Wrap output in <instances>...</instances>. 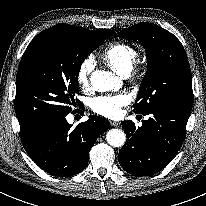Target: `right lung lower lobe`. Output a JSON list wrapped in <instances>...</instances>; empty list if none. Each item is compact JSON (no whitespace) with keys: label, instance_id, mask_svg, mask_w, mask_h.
Returning <instances> with one entry per match:
<instances>
[{"label":"right lung lower lobe","instance_id":"right-lung-lower-lobe-1","mask_svg":"<svg viewBox=\"0 0 206 206\" xmlns=\"http://www.w3.org/2000/svg\"><path fill=\"white\" fill-rule=\"evenodd\" d=\"M109 127L106 119L93 115L72 128L65 115L20 126V136L24 149L41 169L68 177L86 168L92 146Z\"/></svg>","mask_w":206,"mask_h":206}]
</instances>
